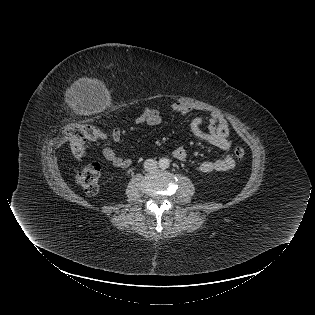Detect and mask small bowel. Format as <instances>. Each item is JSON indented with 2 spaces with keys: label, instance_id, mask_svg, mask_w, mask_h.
<instances>
[{
  "label": "small bowel",
  "instance_id": "small-bowel-1",
  "mask_svg": "<svg viewBox=\"0 0 315 315\" xmlns=\"http://www.w3.org/2000/svg\"><path fill=\"white\" fill-rule=\"evenodd\" d=\"M168 110L179 115H186L191 111L187 105L181 102L171 104ZM163 119L164 117L161 111L146 108L129 128L123 129L121 127H114L111 132L112 139L117 143H122L127 135L139 130L142 126H158L163 122ZM204 123L208 124L207 131L202 129ZM190 130L195 137L217 147L223 153V157L220 159L201 162L199 165L201 172H224L235 167V160L230 155L231 140L229 123L222 114L212 112L208 117L196 116L190 122ZM102 154L107 161L118 168H128L132 163L131 159L121 156L110 146H105L102 149ZM173 156L177 160L182 161L186 159L187 152L184 147L179 146L174 149Z\"/></svg>",
  "mask_w": 315,
  "mask_h": 315
}]
</instances>
